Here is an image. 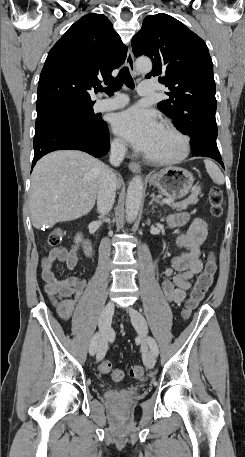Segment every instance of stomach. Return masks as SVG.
Listing matches in <instances>:
<instances>
[{"instance_id": "0dacf381", "label": "stomach", "mask_w": 245, "mask_h": 457, "mask_svg": "<svg viewBox=\"0 0 245 457\" xmlns=\"http://www.w3.org/2000/svg\"><path fill=\"white\" fill-rule=\"evenodd\" d=\"M149 182L159 188L165 196L182 198L193 186L194 176L189 170L181 168V166H165V168L151 174Z\"/></svg>"}]
</instances>
